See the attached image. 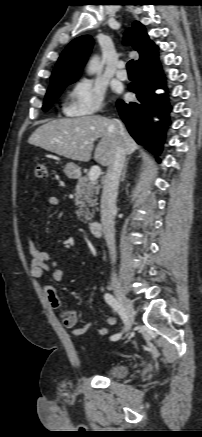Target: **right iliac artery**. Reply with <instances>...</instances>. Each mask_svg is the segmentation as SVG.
Segmentation results:
<instances>
[{
	"mask_svg": "<svg viewBox=\"0 0 202 437\" xmlns=\"http://www.w3.org/2000/svg\"><path fill=\"white\" fill-rule=\"evenodd\" d=\"M104 299L105 301L119 314V316L121 317V319L123 320L124 323H126L127 320V315H126V311L124 309V307L122 306V304H120L115 297L110 294V293H106L104 295ZM121 333L112 335L110 337V339L112 341H117L121 338Z\"/></svg>",
	"mask_w": 202,
	"mask_h": 437,
	"instance_id": "82829eb1",
	"label": "right iliac artery"
}]
</instances>
